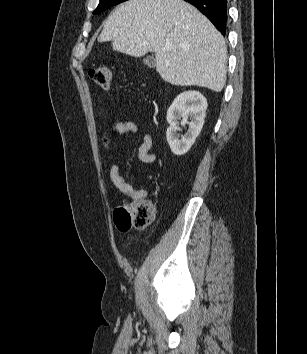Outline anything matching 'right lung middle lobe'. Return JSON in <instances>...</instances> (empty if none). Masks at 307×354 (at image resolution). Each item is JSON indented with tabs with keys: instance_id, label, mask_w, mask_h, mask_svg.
<instances>
[{
	"instance_id": "right-lung-middle-lobe-1",
	"label": "right lung middle lobe",
	"mask_w": 307,
	"mask_h": 354,
	"mask_svg": "<svg viewBox=\"0 0 307 354\" xmlns=\"http://www.w3.org/2000/svg\"><path fill=\"white\" fill-rule=\"evenodd\" d=\"M124 1H127V0H100V3L97 6V8L95 9V11L93 12V14L101 13L104 10H106L112 6H115L121 2H124Z\"/></svg>"
}]
</instances>
